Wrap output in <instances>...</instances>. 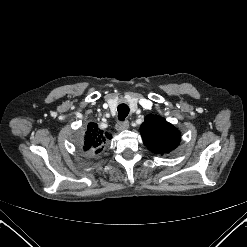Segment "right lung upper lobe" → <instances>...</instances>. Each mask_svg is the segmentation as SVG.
I'll return each mask as SVG.
<instances>
[{
    "label": "right lung upper lobe",
    "mask_w": 247,
    "mask_h": 247,
    "mask_svg": "<svg viewBox=\"0 0 247 247\" xmlns=\"http://www.w3.org/2000/svg\"><path fill=\"white\" fill-rule=\"evenodd\" d=\"M110 138V134L105 133L96 123L90 122L85 129L84 139L80 147L90 154H98L104 148L107 139Z\"/></svg>",
    "instance_id": "1"
}]
</instances>
